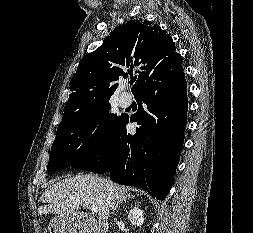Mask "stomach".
Instances as JSON below:
<instances>
[{
    "label": "stomach",
    "instance_id": "0dacf381",
    "mask_svg": "<svg viewBox=\"0 0 253 233\" xmlns=\"http://www.w3.org/2000/svg\"><path fill=\"white\" fill-rule=\"evenodd\" d=\"M76 219L75 214H65L54 218L49 225L52 233H75L76 232Z\"/></svg>",
    "mask_w": 253,
    "mask_h": 233
}]
</instances>
